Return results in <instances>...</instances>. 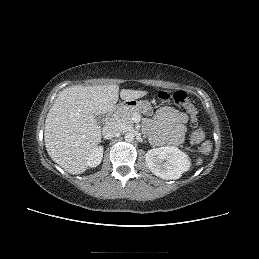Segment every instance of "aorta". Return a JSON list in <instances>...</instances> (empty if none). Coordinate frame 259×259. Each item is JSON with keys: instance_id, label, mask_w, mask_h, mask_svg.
<instances>
[{"instance_id": "762f6f07", "label": "aorta", "mask_w": 259, "mask_h": 259, "mask_svg": "<svg viewBox=\"0 0 259 259\" xmlns=\"http://www.w3.org/2000/svg\"><path fill=\"white\" fill-rule=\"evenodd\" d=\"M134 137L135 136L133 132H127L124 138L127 142H132L134 140Z\"/></svg>"}]
</instances>
